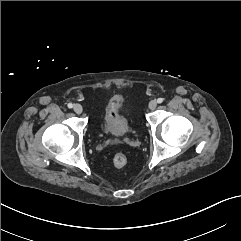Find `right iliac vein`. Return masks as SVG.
Segmentation results:
<instances>
[{"instance_id":"right-iliac-vein-1","label":"right iliac vein","mask_w":241,"mask_h":241,"mask_svg":"<svg viewBox=\"0 0 241 241\" xmlns=\"http://www.w3.org/2000/svg\"><path fill=\"white\" fill-rule=\"evenodd\" d=\"M73 109H74L75 113H77V114H81L83 111V108L80 104H75Z\"/></svg>"}]
</instances>
